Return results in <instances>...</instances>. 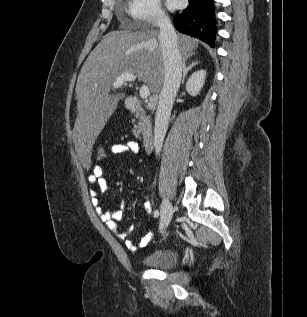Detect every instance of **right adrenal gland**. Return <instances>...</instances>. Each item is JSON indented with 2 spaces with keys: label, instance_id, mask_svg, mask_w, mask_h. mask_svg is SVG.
<instances>
[{
  "label": "right adrenal gland",
  "instance_id": "2a0ac1e0",
  "mask_svg": "<svg viewBox=\"0 0 307 317\" xmlns=\"http://www.w3.org/2000/svg\"><path fill=\"white\" fill-rule=\"evenodd\" d=\"M199 62H192L188 67L186 66V59L183 60L182 68H183V76H182V84H184L185 77L194 66H196Z\"/></svg>",
  "mask_w": 307,
  "mask_h": 317
}]
</instances>
